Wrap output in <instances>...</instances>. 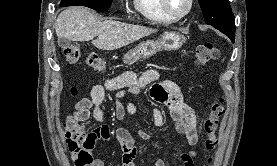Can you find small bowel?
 Instances as JSON below:
<instances>
[{
    "instance_id": "obj_1",
    "label": "small bowel",
    "mask_w": 277,
    "mask_h": 166,
    "mask_svg": "<svg viewBox=\"0 0 277 166\" xmlns=\"http://www.w3.org/2000/svg\"><path fill=\"white\" fill-rule=\"evenodd\" d=\"M158 79L159 73L155 69H148L141 74L126 71L117 76L106 78L93 86L89 98H83L76 104L75 111L67 122L81 124L88 119L91 112L97 122H102L104 115L101 106L107 92H115V113L118 120L123 119L126 115H133L136 112L135 104L129 101L126 105H123L121 99L127 95H137L150 86L151 98L168 109L177 132L184 136L189 146H195L198 142V133L194 111L184 103L181 91L174 81L163 80L158 82ZM153 121L156 126L163 125L165 115L160 109L154 110ZM115 133L116 140L122 149V166H136L135 135L124 128H117ZM136 135L141 140L151 139V134L142 129L138 130ZM110 137V129L105 124H101L89 133H85L81 148L82 152L92 160L88 166H105L102 159L92 157V152L99 140H110ZM195 156L196 152L194 150L182 152L180 154L182 166H194ZM153 166L167 165L164 160L156 159Z\"/></svg>"
}]
</instances>
